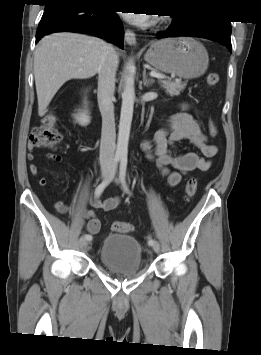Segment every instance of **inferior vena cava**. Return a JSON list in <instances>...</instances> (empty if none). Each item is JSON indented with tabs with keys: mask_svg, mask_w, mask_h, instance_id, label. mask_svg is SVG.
<instances>
[{
	"mask_svg": "<svg viewBox=\"0 0 261 355\" xmlns=\"http://www.w3.org/2000/svg\"><path fill=\"white\" fill-rule=\"evenodd\" d=\"M118 56L112 46L107 47L98 70V105L102 116L100 144L101 168L113 167L115 152L114 91Z\"/></svg>",
	"mask_w": 261,
	"mask_h": 355,
	"instance_id": "602c4592",
	"label": "inferior vena cava"
}]
</instances>
